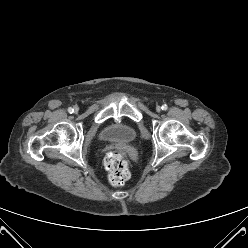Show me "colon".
Instances as JSON below:
<instances>
[{
	"label": "colon",
	"mask_w": 248,
	"mask_h": 248,
	"mask_svg": "<svg viewBox=\"0 0 248 248\" xmlns=\"http://www.w3.org/2000/svg\"><path fill=\"white\" fill-rule=\"evenodd\" d=\"M109 173V180L112 185H123L130 177V171L125 154L120 150H112L107 153L104 161Z\"/></svg>",
	"instance_id": "colon-1"
}]
</instances>
